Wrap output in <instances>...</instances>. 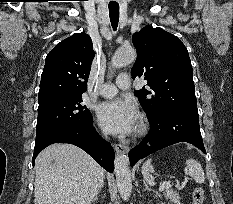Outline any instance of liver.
Listing matches in <instances>:
<instances>
[{
    "label": "liver",
    "mask_w": 233,
    "mask_h": 204,
    "mask_svg": "<svg viewBox=\"0 0 233 204\" xmlns=\"http://www.w3.org/2000/svg\"><path fill=\"white\" fill-rule=\"evenodd\" d=\"M35 170L34 204H91L104 185V169L71 144L45 148L36 158Z\"/></svg>",
    "instance_id": "obj_1"
}]
</instances>
